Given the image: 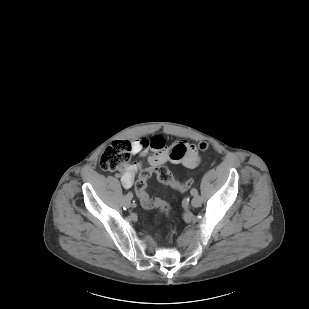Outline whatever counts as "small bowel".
I'll use <instances>...</instances> for the list:
<instances>
[{
    "instance_id": "obj_1",
    "label": "small bowel",
    "mask_w": 309,
    "mask_h": 309,
    "mask_svg": "<svg viewBox=\"0 0 309 309\" xmlns=\"http://www.w3.org/2000/svg\"><path fill=\"white\" fill-rule=\"evenodd\" d=\"M132 152L146 158L149 170L170 161L187 168H194L200 162L198 147L186 140L176 141L169 150L165 138L162 135H154L151 138L142 137L132 142ZM142 162L131 163L125 167L119 175L125 188H130L134 182L136 173L143 169Z\"/></svg>"
}]
</instances>
